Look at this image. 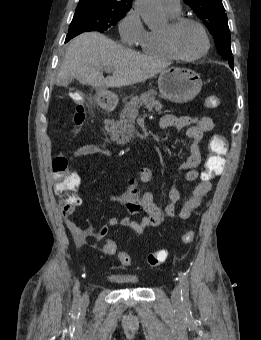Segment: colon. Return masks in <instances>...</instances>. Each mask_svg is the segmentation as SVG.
<instances>
[{
  "instance_id": "1",
  "label": "colon",
  "mask_w": 261,
  "mask_h": 340,
  "mask_svg": "<svg viewBox=\"0 0 261 340\" xmlns=\"http://www.w3.org/2000/svg\"><path fill=\"white\" fill-rule=\"evenodd\" d=\"M219 105L220 99L217 96H209L205 100L207 108H217ZM84 120V107L75 103L72 110L73 123L80 126ZM208 149L209 155L206 159L204 170L201 173V179L205 182H211L223 169V157L228 149L226 138L220 134L213 135L209 140ZM52 170L54 174L53 189L59 199L61 212L63 215H69L80 203V199L77 196L79 181L76 174L71 172L68 159L63 155H58L53 159ZM181 239L183 243H191L194 239V232L191 230L185 231ZM102 252L106 255H114L117 253V245L112 240H105L102 244ZM118 258L124 266H131L132 259L129 254L119 252ZM167 258L168 252L160 249L149 254L145 259V264L149 267H156L163 264Z\"/></svg>"
}]
</instances>
